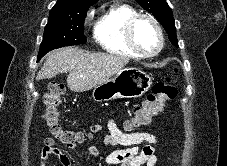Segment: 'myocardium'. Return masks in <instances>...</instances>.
<instances>
[{
    "label": "myocardium",
    "instance_id": "obj_1",
    "mask_svg": "<svg viewBox=\"0 0 227 166\" xmlns=\"http://www.w3.org/2000/svg\"><path fill=\"white\" fill-rule=\"evenodd\" d=\"M142 19H146V20L150 21L158 34V38H159L158 46L152 52H144L138 46V44L135 40V34H134L135 26ZM125 37H126V41L129 45V47L140 57L156 56L157 54H159L161 52V50L163 49V46H164V35H163L162 28H161L159 22L157 21V19L149 14H136L133 17H131L125 26Z\"/></svg>",
    "mask_w": 227,
    "mask_h": 166
}]
</instances>
